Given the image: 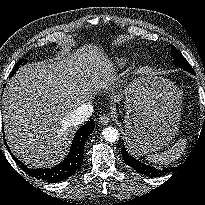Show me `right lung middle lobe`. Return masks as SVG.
<instances>
[{"instance_id": "1", "label": "right lung middle lobe", "mask_w": 205, "mask_h": 205, "mask_svg": "<svg viewBox=\"0 0 205 205\" xmlns=\"http://www.w3.org/2000/svg\"><path fill=\"white\" fill-rule=\"evenodd\" d=\"M23 62H26V60H25V59H21V60L18 61V63H17V64L15 65V67L13 68V70H12V72H11V74H10V77L15 74V72L18 70L19 66H20L21 63H23Z\"/></svg>"}]
</instances>
